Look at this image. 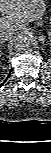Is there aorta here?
I'll list each match as a JSON object with an SVG mask.
<instances>
[{"instance_id": "aorta-1", "label": "aorta", "mask_w": 51, "mask_h": 153, "mask_svg": "<svg viewBox=\"0 0 51 153\" xmlns=\"http://www.w3.org/2000/svg\"><path fill=\"white\" fill-rule=\"evenodd\" d=\"M34 47V38L29 34L18 36L14 41V48L17 51L26 52Z\"/></svg>"}]
</instances>
